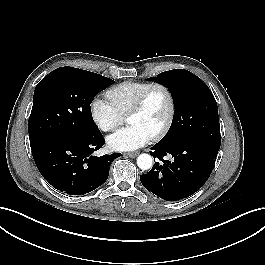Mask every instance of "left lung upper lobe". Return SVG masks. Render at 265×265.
<instances>
[{
	"label": "left lung upper lobe",
	"mask_w": 265,
	"mask_h": 265,
	"mask_svg": "<svg viewBox=\"0 0 265 265\" xmlns=\"http://www.w3.org/2000/svg\"><path fill=\"white\" fill-rule=\"evenodd\" d=\"M156 81L168 87L175 106L171 127L158 143L167 144L193 138L220 147L218 108L208 86L184 69L162 72L157 75Z\"/></svg>",
	"instance_id": "left-lung-upper-lobe-1"
}]
</instances>
